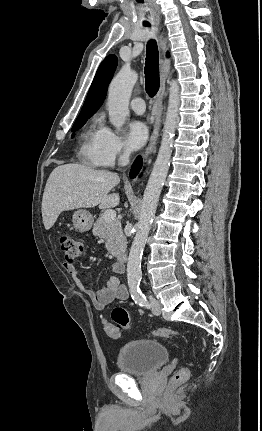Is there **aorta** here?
Returning <instances> with one entry per match:
<instances>
[{"label":"aorta","mask_w":262,"mask_h":431,"mask_svg":"<svg viewBox=\"0 0 262 431\" xmlns=\"http://www.w3.org/2000/svg\"><path fill=\"white\" fill-rule=\"evenodd\" d=\"M138 75L129 66H124L114 77L109 86L107 107L110 123L120 131L129 115V99ZM180 105L179 86L175 80L170 82L169 100L164 121L161 145L146 185L137 232L134 236L127 261V279L130 286L139 284L142 276L141 260L149 231L155 216L161 190L168 170L178 122Z\"/></svg>","instance_id":"1"}]
</instances>
